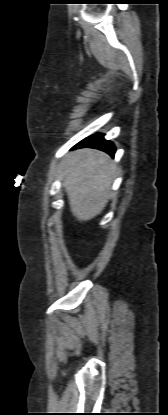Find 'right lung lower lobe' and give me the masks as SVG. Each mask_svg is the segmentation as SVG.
I'll return each mask as SVG.
<instances>
[{"label": "right lung lower lobe", "mask_w": 168, "mask_h": 415, "mask_svg": "<svg viewBox=\"0 0 168 415\" xmlns=\"http://www.w3.org/2000/svg\"><path fill=\"white\" fill-rule=\"evenodd\" d=\"M90 147L102 150L111 156H114L115 146L111 141L103 138L102 134L90 136L79 142L74 148Z\"/></svg>", "instance_id": "1"}]
</instances>
